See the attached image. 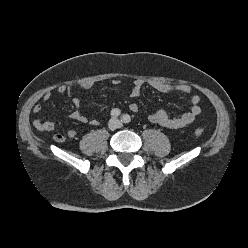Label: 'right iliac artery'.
Segmentation results:
<instances>
[{"label":"right iliac artery","mask_w":248,"mask_h":248,"mask_svg":"<svg viewBox=\"0 0 248 248\" xmlns=\"http://www.w3.org/2000/svg\"><path fill=\"white\" fill-rule=\"evenodd\" d=\"M121 114V111L117 108L111 110V116L118 117Z\"/></svg>","instance_id":"right-iliac-artery-1"}]
</instances>
